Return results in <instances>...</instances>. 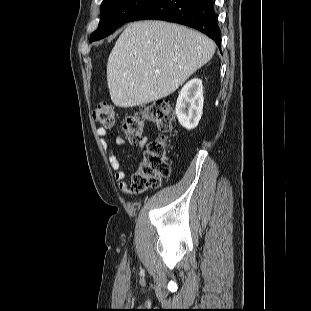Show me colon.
I'll use <instances>...</instances> for the list:
<instances>
[{"label":"colon","mask_w":311,"mask_h":311,"mask_svg":"<svg viewBox=\"0 0 311 311\" xmlns=\"http://www.w3.org/2000/svg\"><path fill=\"white\" fill-rule=\"evenodd\" d=\"M94 121L102 127L114 125L115 113L107 103H100L93 111ZM174 113L166 100H157L138 112L128 114L122 122L123 131L128 139L135 144L143 138L146 121L153 122L161 133H169L172 129ZM167 141L165 137L150 142L131 179V188L135 192H143L158 186L162 179L170 175V165L166 154Z\"/></svg>","instance_id":"1"}]
</instances>
